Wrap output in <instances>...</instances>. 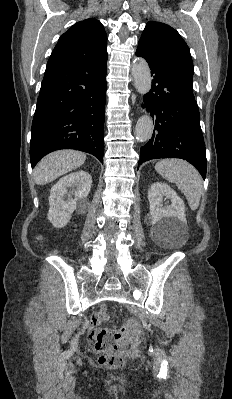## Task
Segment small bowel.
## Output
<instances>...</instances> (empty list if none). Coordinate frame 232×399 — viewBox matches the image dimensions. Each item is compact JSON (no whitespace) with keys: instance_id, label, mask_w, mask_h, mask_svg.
Returning a JSON list of instances; mask_svg holds the SVG:
<instances>
[{"instance_id":"obj_1","label":"small bowel","mask_w":232,"mask_h":399,"mask_svg":"<svg viewBox=\"0 0 232 399\" xmlns=\"http://www.w3.org/2000/svg\"><path fill=\"white\" fill-rule=\"evenodd\" d=\"M110 318L109 309L107 306L103 305L99 310L92 316L90 322H82L80 327L86 330H94L99 328L104 322L108 321Z\"/></svg>"}]
</instances>
